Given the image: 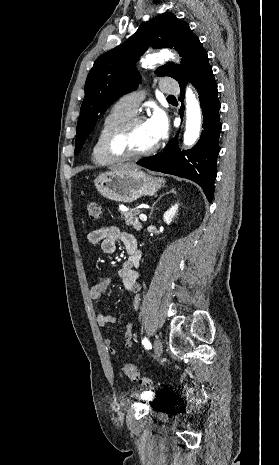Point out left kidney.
<instances>
[{"label": "left kidney", "instance_id": "1", "mask_svg": "<svg viewBox=\"0 0 279 465\" xmlns=\"http://www.w3.org/2000/svg\"><path fill=\"white\" fill-rule=\"evenodd\" d=\"M179 209V204L176 203L171 208H169L163 215V220L168 225L172 223L174 217L177 215Z\"/></svg>", "mask_w": 279, "mask_h": 465}]
</instances>
